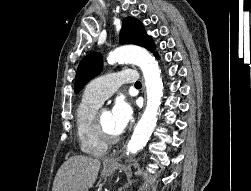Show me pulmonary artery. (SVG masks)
I'll return each mask as SVG.
<instances>
[{"label":"pulmonary artery","instance_id":"pulmonary-artery-1","mask_svg":"<svg viewBox=\"0 0 251 191\" xmlns=\"http://www.w3.org/2000/svg\"><path fill=\"white\" fill-rule=\"evenodd\" d=\"M133 68H126L120 72L108 73L92 82L84 93L87 98L104 101L111 96L122 84L134 82L138 73Z\"/></svg>","mask_w":251,"mask_h":191}]
</instances>
